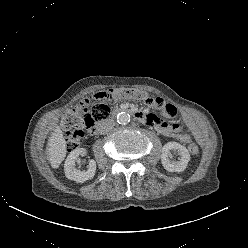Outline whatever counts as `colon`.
Wrapping results in <instances>:
<instances>
[{"label":"colon","instance_id":"colon-1","mask_svg":"<svg viewBox=\"0 0 248 248\" xmlns=\"http://www.w3.org/2000/svg\"><path fill=\"white\" fill-rule=\"evenodd\" d=\"M118 98L143 99L152 106H154V100L159 99L162 102L159 109H162L164 104H166L161 98L149 97L142 91L132 89H111L99 92L92 97H86L68 110L62 117V126L65 130V140L69 151L79 147L85 133L92 132L95 122L101 121L108 116L110 108L106 101ZM171 106L177 111L175 106L172 104ZM188 150L192 155H196L199 152V147L195 143H190Z\"/></svg>","mask_w":248,"mask_h":248}]
</instances>
